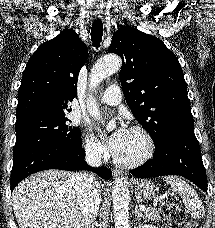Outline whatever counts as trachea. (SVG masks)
<instances>
[{
  "instance_id": "3493384b",
  "label": "trachea",
  "mask_w": 215,
  "mask_h": 228,
  "mask_svg": "<svg viewBox=\"0 0 215 228\" xmlns=\"http://www.w3.org/2000/svg\"><path fill=\"white\" fill-rule=\"evenodd\" d=\"M103 34V23L101 20L96 19L92 24L91 29V40L93 42L94 47L98 48L102 41Z\"/></svg>"
}]
</instances>
